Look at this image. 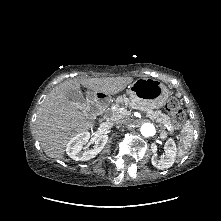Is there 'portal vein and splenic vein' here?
Masks as SVG:
<instances>
[{"mask_svg": "<svg viewBox=\"0 0 221 221\" xmlns=\"http://www.w3.org/2000/svg\"><path fill=\"white\" fill-rule=\"evenodd\" d=\"M127 112V110L124 108V107H122V108H120L119 109V113L120 114H125ZM168 129V128H167Z\"/></svg>", "mask_w": 221, "mask_h": 221, "instance_id": "portal-vein-and-splenic-vein-1", "label": "portal vein and splenic vein"}]
</instances>
